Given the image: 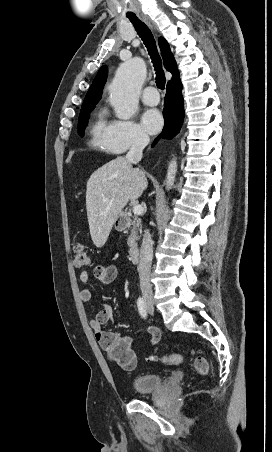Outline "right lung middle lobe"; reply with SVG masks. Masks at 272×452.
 <instances>
[{
    "mask_svg": "<svg viewBox=\"0 0 272 452\" xmlns=\"http://www.w3.org/2000/svg\"><path fill=\"white\" fill-rule=\"evenodd\" d=\"M95 105H96V103L82 105L80 116H79V122H78V131L81 134V136H83L84 129L87 126L88 114L91 110L94 109Z\"/></svg>",
    "mask_w": 272,
    "mask_h": 452,
    "instance_id": "obj_1",
    "label": "right lung middle lobe"
}]
</instances>
